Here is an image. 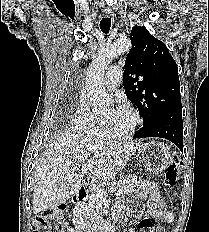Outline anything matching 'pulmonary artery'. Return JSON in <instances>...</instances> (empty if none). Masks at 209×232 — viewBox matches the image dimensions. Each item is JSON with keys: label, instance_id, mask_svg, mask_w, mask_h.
I'll use <instances>...</instances> for the list:
<instances>
[{"label": "pulmonary artery", "instance_id": "pulmonary-artery-1", "mask_svg": "<svg viewBox=\"0 0 209 232\" xmlns=\"http://www.w3.org/2000/svg\"><path fill=\"white\" fill-rule=\"evenodd\" d=\"M121 79L122 69L117 65L111 66L105 74L104 85L110 91L115 90L120 85Z\"/></svg>", "mask_w": 209, "mask_h": 232}]
</instances>
